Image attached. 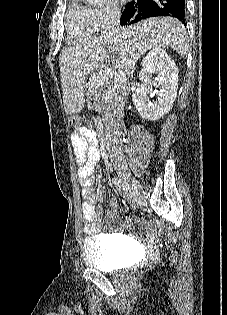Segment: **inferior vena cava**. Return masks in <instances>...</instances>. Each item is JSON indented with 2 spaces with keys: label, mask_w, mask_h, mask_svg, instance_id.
Masks as SVG:
<instances>
[{
  "label": "inferior vena cava",
  "mask_w": 227,
  "mask_h": 315,
  "mask_svg": "<svg viewBox=\"0 0 227 315\" xmlns=\"http://www.w3.org/2000/svg\"><path fill=\"white\" fill-rule=\"evenodd\" d=\"M110 22L104 32L105 35L117 32L119 27V20H120V16H121V11L120 9H118L117 7H113L111 9L110 12ZM128 79L126 77V75L123 73L122 74V78L121 81L118 83V91H117V95L115 96V127H114V131H113V146H112V153L113 155L117 154V153H121L122 149L121 147L118 146L119 143V121L121 120V118L123 117V111H124V106L126 103V99H127V93H128Z\"/></svg>",
  "instance_id": "1"
}]
</instances>
